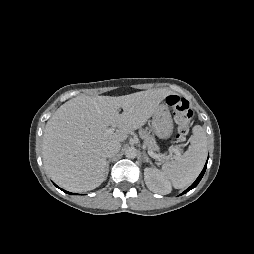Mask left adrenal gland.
<instances>
[{"label":"left adrenal gland","mask_w":254,"mask_h":254,"mask_svg":"<svg viewBox=\"0 0 254 254\" xmlns=\"http://www.w3.org/2000/svg\"><path fill=\"white\" fill-rule=\"evenodd\" d=\"M143 160L146 161V162H149L150 164H152L150 158L147 156L145 151H143Z\"/></svg>","instance_id":"obj_1"}]
</instances>
